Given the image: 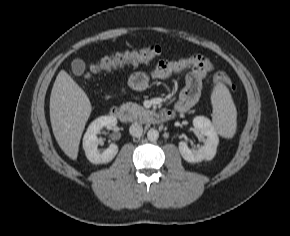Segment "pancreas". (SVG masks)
<instances>
[{
    "label": "pancreas",
    "instance_id": "obj_1",
    "mask_svg": "<svg viewBox=\"0 0 290 236\" xmlns=\"http://www.w3.org/2000/svg\"><path fill=\"white\" fill-rule=\"evenodd\" d=\"M121 109L124 111H127L128 114L133 117L134 119H137L138 117L147 116L150 112L146 109H144L142 106L127 102L121 105Z\"/></svg>",
    "mask_w": 290,
    "mask_h": 236
}]
</instances>
